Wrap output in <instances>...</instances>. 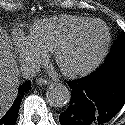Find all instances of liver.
<instances>
[{
  "label": "liver",
  "instance_id": "obj_1",
  "mask_svg": "<svg viewBox=\"0 0 125 125\" xmlns=\"http://www.w3.org/2000/svg\"><path fill=\"white\" fill-rule=\"evenodd\" d=\"M18 69L11 52L10 37L0 26V117L17 96Z\"/></svg>",
  "mask_w": 125,
  "mask_h": 125
}]
</instances>
